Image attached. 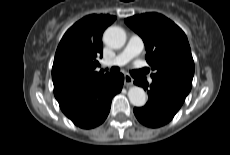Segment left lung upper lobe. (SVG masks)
<instances>
[{"label":"left lung upper lobe","instance_id":"5c2ea615","mask_svg":"<svg viewBox=\"0 0 230 155\" xmlns=\"http://www.w3.org/2000/svg\"><path fill=\"white\" fill-rule=\"evenodd\" d=\"M125 23L145 43L153 81L187 96L192 87L194 61L185 33L158 13L135 15L126 18Z\"/></svg>","mask_w":230,"mask_h":155}]
</instances>
